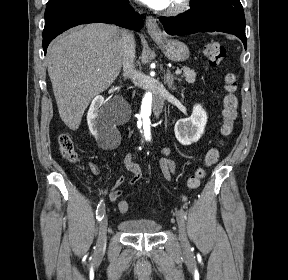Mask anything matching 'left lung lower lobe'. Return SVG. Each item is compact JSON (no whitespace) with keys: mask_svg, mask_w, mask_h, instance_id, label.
<instances>
[{"mask_svg":"<svg viewBox=\"0 0 288 280\" xmlns=\"http://www.w3.org/2000/svg\"><path fill=\"white\" fill-rule=\"evenodd\" d=\"M170 35H187L196 32H225L237 36L247 48L245 23L234 17L207 8H191L177 17H160Z\"/></svg>","mask_w":288,"mask_h":280,"instance_id":"left-lung-lower-lobe-1","label":"left lung lower lobe"}]
</instances>
